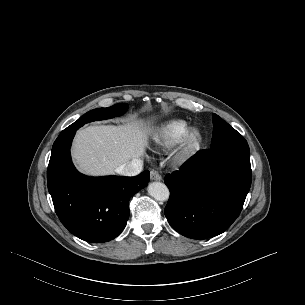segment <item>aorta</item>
<instances>
[{"label":"aorta","instance_id":"aorta-1","mask_svg":"<svg viewBox=\"0 0 305 305\" xmlns=\"http://www.w3.org/2000/svg\"><path fill=\"white\" fill-rule=\"evenodd\" d=\"M148 193L158 201H167L170 195L168 187L161 182H152L148 185Z\"/></svg>","mask_w":305,"mask_h":305}]
</instances>
